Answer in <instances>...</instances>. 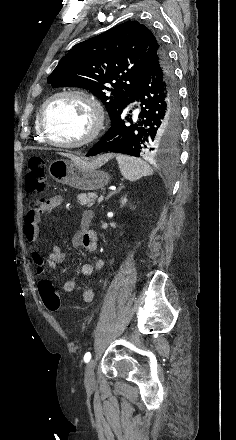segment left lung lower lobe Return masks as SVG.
<instances>
[{
    "label": "left lung lower lobe",
    "mask_w": 236,
    "mask_h": 440,
    "mask_svg": "<svg viewBox=\"0 0 236 440\" xmlns=\"http://www.w3.org/2000/svg\"><path fill=\"white\" fill-rule=\"evenodd\" d=\"M135 99H141V112L133 121L127 110ZM179 121L178 89L164 52L151 59L137 88L111 121V128L86 156L111 151L139 157L162 143L172 145L178 138Z\"/></svg>",
    "instance_id": "0a47b994"
}]
</instances>
